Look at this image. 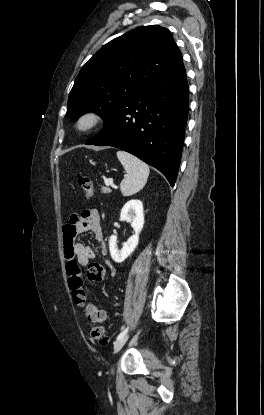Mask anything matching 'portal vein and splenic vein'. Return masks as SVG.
<instances>
[{
	"instance_id": "1",
	"label": "portal vein and splenic vein",
	"mask_w": 264,
	"mask_h": 415,
	"mask_svg": "<svg viewBox=\"0 0 264 415\" xmlns=\"http://www.w3.org/2000/svg\"><path fill=\"white\" fill-rule=\"evenodd\" d=\"M105 184H106L107 186H110V185L112 184V181H111V180L106 179V180H105Z\"/></svg>"
}]
</instances>
